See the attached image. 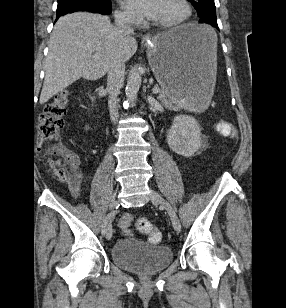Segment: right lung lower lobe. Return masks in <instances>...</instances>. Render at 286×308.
Instances as JSON below:
<instances>
[{
  "mask_svg": "<svg viewBox=\"0 0 286 308\" xmlns=\"http://www.w3.org/2000/svg\"><path fill=\"white\" fill-rule=\"evenodd\" d=\"M76 11H88L93 13H100V14H110L111 8H100L95 6H77V7H69L62 10H57V17L56 20L67 13H72Z\"/></svg>",
  "mask_w": 286,
  "mask_h": 308,
  "instance_id": "98d812e1",
  "label": "right lung lower lobe"
}]
</instances>
